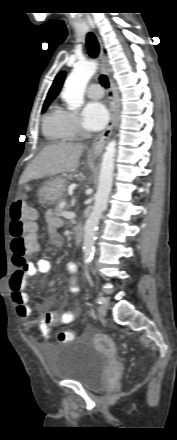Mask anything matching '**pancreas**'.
<instances>
[{
	"instance_id": "obj_1",
	"label": "pancreas",
	"mask_w": 177,
	"mask_h": 440,
	"mask_svg": "<svg viewBox=\"0 0 177 440\" xmlns=\"http://www.w3.org/2000/svg\"><path fill=\"white\" fill-rule=\"evenodd\" d=\"M64 198H62L57 204H56V207H55V209H54V214L56 215V216H62V212H63V207H61L60 206V203H62V202H64Z\"/></svg>"
}]
</instances>
